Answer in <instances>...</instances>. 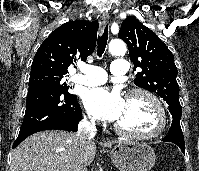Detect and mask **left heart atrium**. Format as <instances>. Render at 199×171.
Segmentation results:
<instances>
[{
  "label": "left heart atrium",
  "instance_id": "obj_1",
  "mask_svg": "<svg viewBox=\"0 0 199 171\" xmlns=\"http://www.w3.org/2000/svg\"><path fill=\"white\" fill-rule=\"evenodd\" d=\"M82 100L90 114L109 122H116L125 106V99L119 90L105 86L86 90Z\"/></svg>",
  "mask_w": 199,
  "mask_h": 171
}]
</instances>
